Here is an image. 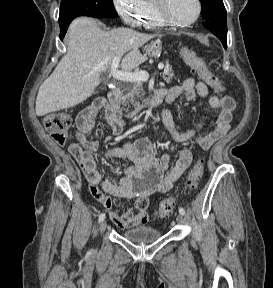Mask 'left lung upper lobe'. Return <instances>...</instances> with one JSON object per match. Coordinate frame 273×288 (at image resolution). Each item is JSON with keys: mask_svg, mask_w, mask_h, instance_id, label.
<instances>
[{"mask_svg": "<svg viewBox=\"0 0 273 288\" xmlns=\"http://www.w3.org/2000/svg\"><path fill=\"white\" fill-rule=\"evenodd\" d=\"M202 3L201 15L205 27H214L226 24V9L222 0H200Z\"/></svg>", "mask_w": 273, "mask_h": 288, "instance_id": "5c2ea615", "label": "left lung upper lobe"}]
</instances>
